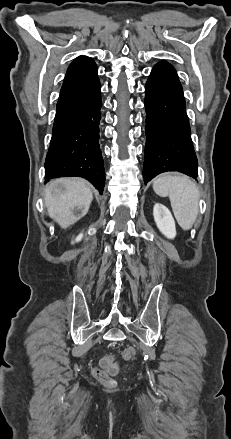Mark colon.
<instances>
[{"mask_svg":"<svg viewBox=\"0 0 231 439\" xmlns=\"http://www.w3.org/2000/svg\"><path fill=\"white\" fill-rule=\"evenodd\" d=\"M135 351L132 348H125L122 351V357L125 361L133 359ZM117 370L116 365L113 363L110 357L102 358L99 367H95L92 371L93 376L104 384H112L111 375Z\"/></svg>","mask_w":231,"mask_h":439,"instance_id":"obj_1","label":"colon"}]
</instances>
